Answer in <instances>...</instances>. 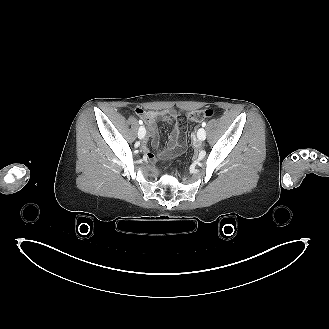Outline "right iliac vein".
<instances>
[{
  "label": "right iliac vein",
  "mask_w": 329,
  "mask_h": 329,
  "mask_svg": "<svg viewBox=\"0 0 329 329\" xmlns=\"http://www.w3.org/2000/svg\"><path fill=\"white\" fill-rule=\"evenodd\" d=\"M145 134H146L145 127H144V126H141V127L139 128V130H138V138H139V139L144 138Z\"/></svg>",
  "instance_id": "obj_1"
}]
</instances>
